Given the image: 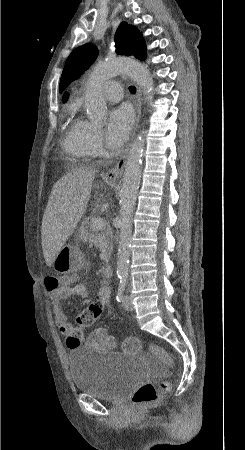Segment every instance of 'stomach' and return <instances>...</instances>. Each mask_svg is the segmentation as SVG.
<instances>
[{
  "label": "stomach",
  "instance_id": "0dacf381",
  "mask_svg": "<svg viewBox=\"0 0 245 450\" xmlns=\"http://www.w3.org/2000/svg\"><path fill=\"white\" fill-rule=\"evenodd\" d=\"M84 265V257L78 246L65 245L53 261V268L58 273H71L78 271Z\"/></svg>",
  "mask_w": 245,
  "mask_h": 450
}]
</instances>
